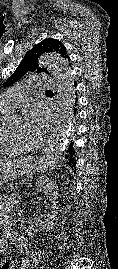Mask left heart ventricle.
<instances>
[{
	"mask_svg": "<svg viewBox=\"0 0 118 269\" xmlns=\"http://www.w3.org/2000/svg\"><path fill=\"white\" fill-rule=\"evenodd\" d=\"M13 131L21 137L25 136V122L23 119L20 118L16 121L15 125L13 126Z\"/></svg>",
	"mask_w": 118,
	"mask_h": 269,
	"instance_id": "left-heart-ventricle-1",
	"label": "left heart ventricle"
}]
</instances>
